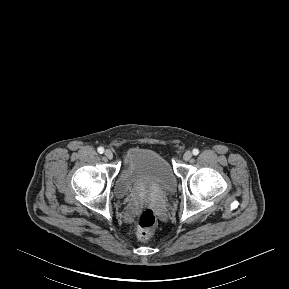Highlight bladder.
Here are the masks:
<instances>
[{"label": "bladder", "instance_id": "1", "mask_svg": "<svg viewBox=\"0 0 289 289\" xmlns=\"http://www.w3.org/2000/svg\"><path fill=\"white\" fill-rule=\"evenodd\" d=\"M176 188V177L168 161L159 153L146 149H132L114 185L119 199L143 194L169 195Z\"/></svg>", "mask_w": 289, "mask_h": 289}]
</instances>
